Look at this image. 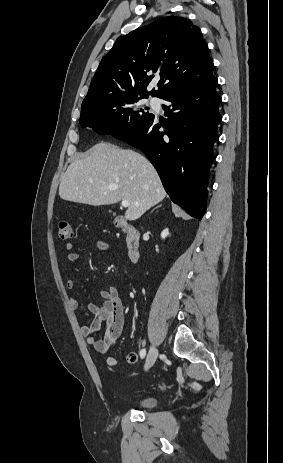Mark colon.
<instances>
[{
	"label": "colon",
	"mask_w": 283,
	"mask_h": 463,
	"mask_svg": "<svg viewBox=\"0 0 283 463\" xmlns=\"http://www.w3.org/2000/svg\"><path fill=\"white\" fill-rule=\"evenodd\" d=\"M58 236L61 239H69L73 236L72 227L68 220L62 219L59 221ZM126 361L129 363H135L137 361V355L133 352L127 353Z\"/></svg>",
	"instance_id": "5ec220e1"
}]
</instances>
